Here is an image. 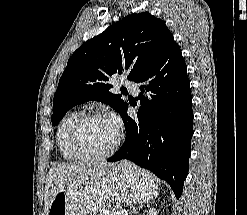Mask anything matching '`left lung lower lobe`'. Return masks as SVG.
<instances>
[{"label":"left lung lower lobe","instance_id":"left-lung-lower-lobe-1","mask_svg":"<svg viewBox=\"0 0 247 215\" xmlns=\"http://www.w3.org/2000/svg\"><path fill=\"white\" fill-rule=\"evenodd\" d=\"M141 83L137 120L121 115L126 140L108 162L123 159L152 171L181 196L188 174L193 111L187 67L171 38L159 58L135 81Z\"/></svg>","mask_w":247,"mask_h":215}]
</instances>
